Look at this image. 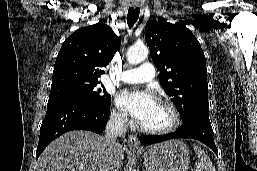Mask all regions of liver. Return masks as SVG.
<instances>
[{
  "instance_id": "6515ba94",
  "label": "liver",
  "mask_w": 257,
  "mask_h": 171,
  "mask_svg": "<svg viewBox=\"0 0 257 171\" xmlns=\"http://www.w3.org/2000/svg\"><path fill=\"white\" fill-rule=\"evenodd\" d=\"M105 137L89 131H70L51 142L37 162V171H103L106 158ZM124 160L118 144L116 166Z\"/></svg>"
}]
</instances>
